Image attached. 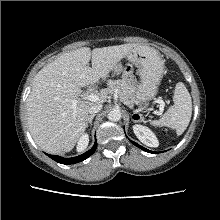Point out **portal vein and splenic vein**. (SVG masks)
Listing matches in <instances>:
<instances>
[{
  "mask_svg": "<svg viewBox=\"0 0 220 220\" xmlns=\"http://www.w3.org/2000/svg\"><path fill=\"white\" fill-rule=\"evenodd\" d=\"M79 100H90V101L96 102L99 100V96L96 94H89L86 96H82L81 98H78V99H73L70 102L73 104V106H75ZM157 103L160 104V110L162 111L164 109L163 100H158Z\"/></svg>",
  "mask_w": 220,
  "mask_h": 220,
  "instance_id": "portal-vein-and-splenic-vein-1",
  "label": "portal vein and splenic vein"
}]
</instances>
